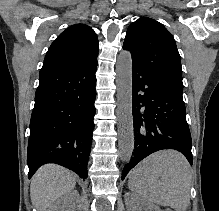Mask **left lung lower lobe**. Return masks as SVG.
<instances>
[{
    "mask_svg": "<svg viewBox=\"0 0 219 211\" xmlns=\"http://www.w3.org/2000/svg\"><path fill=\"white\" fill-rule=\"evenodd\" d=\"M134 153L122 180L143 158L163 149H175L193 164L191 134L182 92L132 65Z\"/></svg>",
    "mask_w": 219,
    "mask_h": 211,
    "instance_id": "0a47b994",
    "label": "left lung lower lobe"
}]
</instances>
